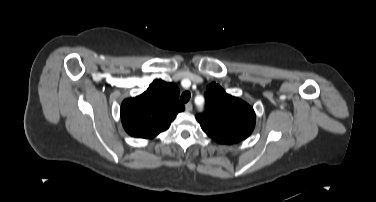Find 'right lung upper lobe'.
Segmentation results:
<instances>
[{
  "label": "right lung upper lobe",
  "instance_id": "obj_1",
  "mask_svg": "<svg viewBox=\"0 0 376 202\" xmlns=\"http://www.w3.org/2000/svg\"><path fill=\"white\" fill-rule=\"evenodd\" d=\"M179 95L174 83L153 81L144 93L122 103L125 131L133 137L151 139L167 130L176 115L185 109Z\"/></svg>",
  "mask_w": 376,
  "mask_h": 202
}]
</instances>
